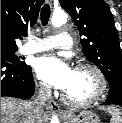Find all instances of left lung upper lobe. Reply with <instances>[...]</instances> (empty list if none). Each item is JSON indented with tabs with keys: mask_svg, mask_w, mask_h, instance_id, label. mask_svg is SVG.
<instances>
[{
	"mask_svg": "<svg viewBox=\"0 0 122 123\" xmlns=\"http://www.w3.org/2000/svg\"><path fill=\"white\" fill-rule=\"evenodd\" d=\"M79 30L83 53L107 78L122 82V50L114 18L104 0H59Z\"/></svg>",
	"mask_w": 122,
	"mask_h": 123,
	"instance_id": "left-lung-upper-lobe-1",
	"label": "left lung upper lobe"
}]
</instances>
